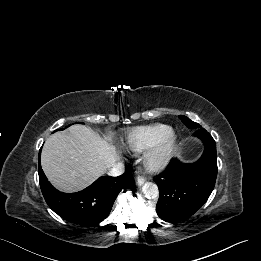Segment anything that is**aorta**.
Listing matches in <instances>:
<instances>
[{
	"instance_id": "aorta-1",
	"label": "aorta",
	"mask_w": 261,
	"mask_h": 261,
	"mask_svg": "<svg viewBox=\"0 0 261 261\" xmlns=\"http://www.w3.org/2000/svg\"><path fill=\"white\" fill-rule=\"evenodd\" d=\"M143 194L148 199L157 198L159 195L158 186L155 183L147 182L142 187Z\"/></svg>"
}]
</instances>
